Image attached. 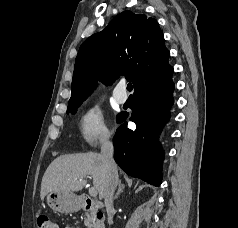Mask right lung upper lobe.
Instances as JSON below:
<instances>
[{"label": "right lung upper lobe", "mask_w": 238, "mask_h": 228, "mask_svg": "<svg viewBox=\"0 0 238 228\" xmlns=\"http://www.w3.org/2000/svg\"><path fill=\"white\" fill-rule=\"evenodd\" d=\"M169 56L155 19L124 11L82 43L75 60L69 104H81L98 78L108 85L125 76L135 92L165 73H173Z\"/></svg>", "instance_id": "1"}]
</instances>
